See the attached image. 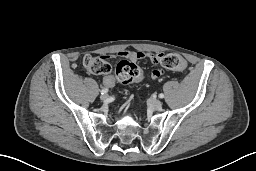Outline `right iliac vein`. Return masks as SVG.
Segmentation results:
<instances>
[{
	"label": "right iliac vein",
	"mask_w": 256,
	"mask_h": 171,
	"mask_svg": "<svg viewBox=\"0 0 256 171\" xmlns=\"http://www.w3.org/2000/svg\"><path fill=\"white\" fill-rule=\"evenodd\" d=\"M108 98V95L107 94H101L100 95V99L101 100H106Z\"/></svg>",
	"instance_id": "63e3f726"
}]
</instances>
